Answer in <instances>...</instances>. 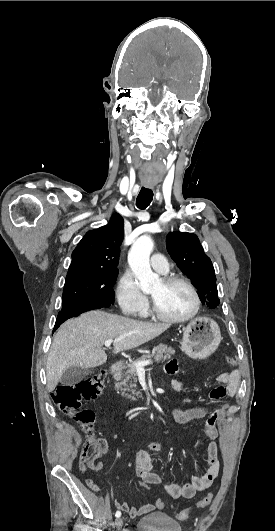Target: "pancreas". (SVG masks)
<instances>
[{
	"instance_id": "obj_1",
	"label": "pancreas",
	"mask_w": 275,
	"mask_h": 531,
	"mask_svg": "<svg viewBox=\"0 0 275 531\" xmlns=\"http://www.w3.org/2000/svg\"><path fill=\"white\" fill-rule=\"evenodd\" d=\"M171 355H175L174 349L160 343V345L154 347L152 353H146V355H142L140 359H137V363L138 361H151L152 357L157 363H160V361L164 363L166 359H171ZM117 365L119 369L114 373L113 379H115V381H120V383H116L115 387H118V389L122 391V397L131 399V401H138L140 391H138L136 385L137 369L134 363H123V361H120Z\"/></svg>"
}]
</instances>
